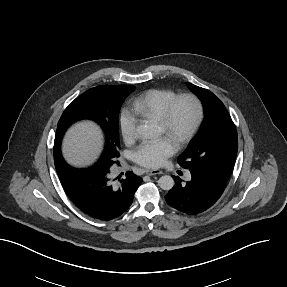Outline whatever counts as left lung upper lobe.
<instances>
[{"mask_svg":"<svg viewBox=\"0 0 287 287\" xmlns=\"http://www.w3.org/2000/svg\"><path fill=\"white\" fill-rule=\"evenodd\" d=\"M186 85L201 100L205 119L198 137L178 157V164L228 180L238 150L235 125L223 103L211 91L190 83Z\"/></svg>","mask_w":287,"mask_h":287,"instance_id":"5c2ea615","label":"left lung upper lobe"}]
</instances>
